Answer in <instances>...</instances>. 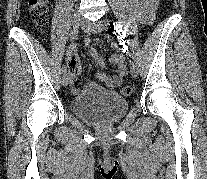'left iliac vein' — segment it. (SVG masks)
<instances>
[{"label":"left iliac vein","mask_w":207,"mask_h":179,"mask_svg":"<svg viewBox=\"0 0 207 179\" xmlns=\"http://www.w3.org/2000/svg\"><path fill=\"white\" fill-rule=\"evenodd\" d=\"M82 27L86 31L92 32V33L102 32V31L106 30L107 27H108V29H111V26H109V24H107L104 20H100L96 25H92L89 21L84 20L82 22ZM130 72L134 78H136L138 76V66L136 63L131 64Z\"/></svg>","instance_id":"left-iliac-vein-1"}]
</instances>
